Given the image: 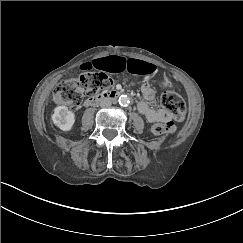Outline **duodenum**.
Returning <instances> with one entry per match:
<instances>
[{
    "instance_id": "1",
    "label": "duodenum",
    "mask_w": 243,
    "mask_h": 243,
    "mask_svg": "<svg viewBox=\"0 0 243 243\" xmlns=\"http://www.w3.org/2000/svg\"><path fill=\"white\" fill-rule=\"evenodd\" d=\"M121 92L119 90H109L104 91L100 94H97L95 96L88 97L84 101L85 106H94L102 101H110L118 98L120 96Z\"/></svg>"
}]
</instances>
